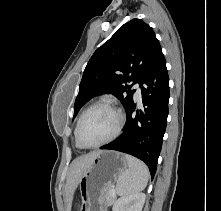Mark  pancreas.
Returning <instances> with one entry per match:
<instances>
[{
  "label": "pancreas",
  "mask_w": 221,
  "mask_h": 211,
  "mask_svg": "<svg viewBox=\"0 0 221 211\" xmlns=\"http://www.w3.org/2000/svg\"><path fill=\"white\" fill-rule=\"evenodd\" d=\"M112 189H114V186H113V185L110 186V187L107 189L106 193H105L104 201H103V202L106 204V206L112 205V204L114 203V201H115V196H112V195L110 194V191H111Z\"/></svg>",
  "instance_id": "1"
}]
</instances>
